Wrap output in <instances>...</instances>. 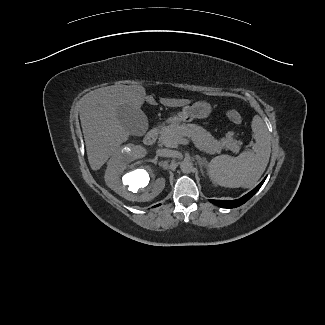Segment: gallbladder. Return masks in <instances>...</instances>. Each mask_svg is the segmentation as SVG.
<instances>
[{
	"mask_svg": "<svg viewBox=\"0 0 325 325\" xmlns=\"http://www.w3.org/2000/svg\"><path fill=\"white\" fill-rule=\"evenodd\" d=\"M117 116L122 126L134 136H142L148 129L146 115L140 109L123 105L118 109Z\"/></svg>",
	"mask_w": 325,
	"mask_h": 325,
	"instance_id": "gallbladder-1",
	"label": "gallbladder"
}]
</instances>
